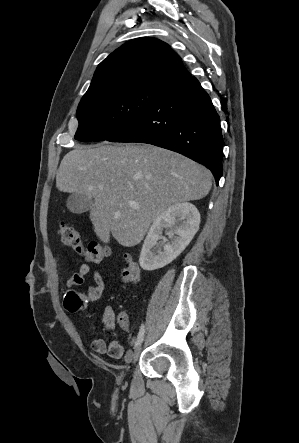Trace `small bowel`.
I'll list each match as a JSON object with an SVG mask.
<instances>
[{
	"label": "small bowel",
	"instance_id": "1",
	"mask_svg": "<svg viewBox=\"0 0 299 443\" xmlns=\"http://www.w3.org/2000/svg\"><path fill=\"white\" fill-rule=\"evenodd\" d=\"M92 274L94 281L93 285H90L86 293H80L73 290L74 287L80 286L84 283L85 277L88 274ZM66 285L69 288L64 298V308L69 312H78L83 309L87 302H93L98 300L104 291V280L101 273L97 270H93L91 265L84 263L80 266L78 272L70 276ZM118 316H123L125 319L124 326L128 322V314L121 312ZM116 320V315L112 307H106L104 310V323L106 330L112 329ZM92 350L98 354H107L114 359L125 358L130 359L131 353L125 352V348L122 343L117 340L106 341L101 338H96L91 343Z\"/></svg>",
	"mask_w": 299,
	"mask_h": 443
}]
</instances>
